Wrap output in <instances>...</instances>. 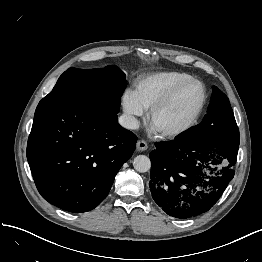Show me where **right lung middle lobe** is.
Segmentation results:
<instances>
[{"instance_id":"1","label":"right lung middle lobe","mask_w":262,"mask_h":262,"mask_svg":"<svg viewBox=\"0 0 262 262\" xmlns=\"http://www.w3.org/2000/svg\"><path fill=\"white\" fill-rule=\"evenodd\" d=\"M125 87V74L117 66L88 70L69 68L44 99L80 100L96 106L106 115L117 116Z\"/></svg>"}]
</instances>
